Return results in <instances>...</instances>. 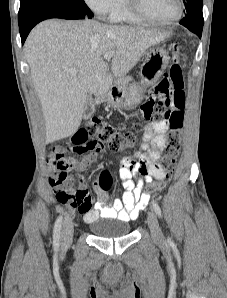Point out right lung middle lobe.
I'll return each mask as SVG.
<instances>
[{"label": "right lung middle lobe", "instance_id": "right-lung-middle-lobe-1", "mask_svg": "<svg viewBox=\"0 0 227 298\" xmlns=\"http://www.w3.org/2000/svg\"><path fill=\"white\" fill-rule=\"evenodd\" d=\"M51 9L92 15L84 0H20L18 23L38 12Z\"/></svg>", "mask_w": 227, "mask_h": 298}]
</instances>
